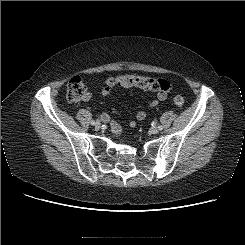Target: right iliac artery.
Returning <instances> with one entry per match:
<instances>
[{
  "mask_svg": "<svg viewBox=\"0 0 245 245\" xmlns=\"http://www.w3.org/2000/svg\"><path fill=\"white\" fill-rule=\"evenodd\" d=\"M97 122H99V121H97ZM95 123H96V122H95L94 120L91 121V124H92V125H94Z\"/></svg>",
  "mask_w": 245,
  "mask_h": 245,
  "instance_id": "1",
  "label": "right iliac artery"
}]
</instances>
